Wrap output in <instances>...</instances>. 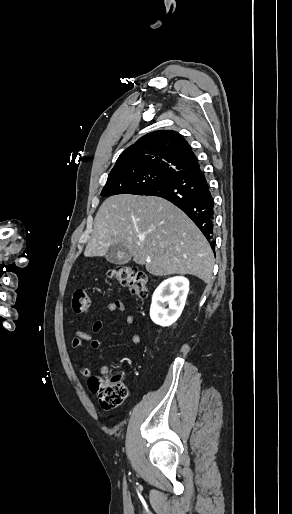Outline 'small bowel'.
<instances>
[{"mask_svg":"<svg viewBox=\"0 0 292 514\" xmlns=\"http://www.w3.org/2000/svg\"><path fill=\"white\" fill-rule=\"evenodd\" d=\"M105 309L110 312H119L122 313L125 310L124 303L115 299L106 304ZM125 323L129 326L134 324V317L132 315H127L125 317ZM104 322L101 319H97L93 322L91 332H85L82 330H76L74 332V337L72 338L70 345L73 349H80L83 347L85 341L90 342V346L92 349H98L100 347V341L95 338V334L99 333L103 328ZM129 341L132 345H139L141 343V338L137 334H133L129 337ZM99 369L105 371L107 366L102 364L99 366ZM75 372L78 375L83 376L84 378H91L93 373L90 368H88L85 364V361L82 357H79L75 362ZM84 388H88L86 384H82Z\"/></svg>","mask_w":292,"mask_h":514,"instance_id":"1","label":"small bowel"}]
</instances>
